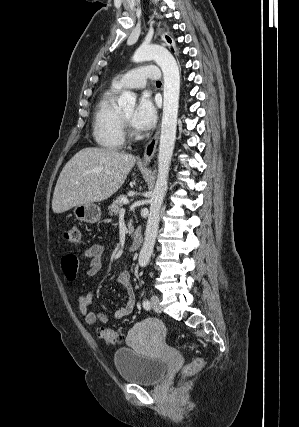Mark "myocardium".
<instances>
[{
  "instance_id": "1",
  "label": "myocardium",
  "mask_w": 299,
  "mask_h": 427,
  "mask_svg": "<svg viewBox=\"0 0 299 427\" xmlns=\"http://www.w3.org/2000/svg\"><path fill=\"white\" fill-rule=\"evenodd\" d=\"M120 119L123 125V129H126L131 135H133V131L131 130L130 121H128L122 113H120Z\"/></svg>"
}]
</instances>
